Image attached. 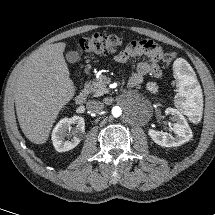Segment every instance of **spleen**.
<instances>
[{"label": "spleen", "instance_id": "3e777b00", "mask_svg": "<svg viewBox=\"0 0 215 215\" xmlns=\"http://www.w3.org/2000/svg\"><path fill=\"white\" fill-rule=\"evenodd\" d=\"M177 79L178 93L175 96L177 108L185 115L193 111L199 112L202 108V93L194 75L190 74L187 62L178 58L173 65Z\"/></svg>", "mask_w": 215, "mask_h": 215}]
</instances>
